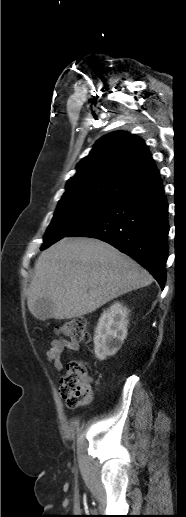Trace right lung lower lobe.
Here are the masks:
<instances>
[{
    "instance_id": "98d812e1",
    "label": "right lung lower lobe",
    "mask_w": 186,
    "mask_h": 517,
    "mask_svg": "<svg viewBox=\"0 0 186 517\" xmlns=\"http://www.w3.org/2000/svg\"><path fill=\"white\" fill-rule=\"evenodd\" d=\"M168 232V204L159 181L119 198L66 237H92L111 244L148 270L163 289Z\"/></svg>"
}]
</instances>
